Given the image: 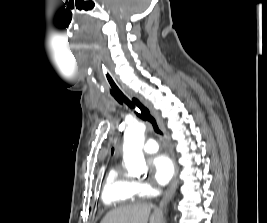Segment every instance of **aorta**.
I'll use <instances>...</instances> for the list:
<instances>
[{"label": "aorta", "instance_id": "762f6f07", "mask_svg": "<svg viewBox=\"0 0 267 223\" xmlns=\"http://www.w3.org/2000/svg\"><path fill=\"white\" fill-rule=\"evenodd\" d=\"M145 125L131 124L124 133L123 159L131 176H140L147 173V166L142 153L144 144Z\"/></svg>", "mask_w": 267, "mask_h": 223}]
</instances>
